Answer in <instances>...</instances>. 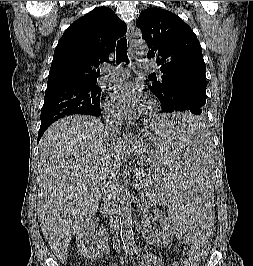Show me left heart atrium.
Segmentation results:
<instances>
[{
  "label": "left heart atrium",
  "mask_w": 253,
  "mask_h": 266,
  "mask_svg": "<svg viewBox=\"0 0 253 266\" xmlns=\"http://www.w3.org/2000/svg\"><path fill=\"white\" fill-rule=\"evenodd\" d=\"M112 98L124 115L137 118L148 102L143 89L133 83H120L113 87Z\"/></svg>",
  "instance_id": "left-heart-atrium-1"
}]
</instances>
